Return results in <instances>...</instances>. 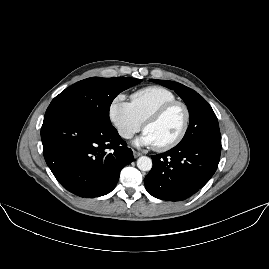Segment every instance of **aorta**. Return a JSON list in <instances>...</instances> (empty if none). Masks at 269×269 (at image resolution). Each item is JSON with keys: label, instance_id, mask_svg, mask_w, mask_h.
Masks as SVG:
<instances>
[{"label": "aorta", "instance_id": "aorta-1", "mask_svg": "<svg viewBox=\"0 0 269 269\" xmlns=\"http://www.w3.org/2000/svg\"><path fill=\"white\" fill-rule=\"evenodd\" d=\"M137 167L140 171L148 172L152 169V160L147 156H142L137 160Z\"/></svg>", "mask_w": 269, "mask_h": 269}]
</instances>
